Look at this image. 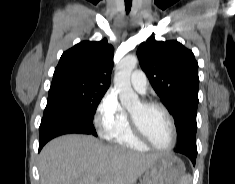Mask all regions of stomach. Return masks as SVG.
Masks as SVG:
<instances>
[{
    "mask_svg": "<svg viewBox=\"0 0 235 184\" xmlns=\"http://www.w3.org/2000/svg\"><path fill=\"white\" fill-rule=\"evenodd\" d=\"M186 168L176 156H160L141 180V184H181Z\"/></svg>",
    "mask_w": 235,
    "mask_h": 184,
    "instance_id": "stomach-1",
    "label": "stomach"
}]
</instances>
